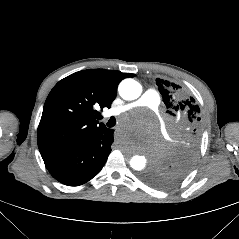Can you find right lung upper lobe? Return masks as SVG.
I'll use <instances>...</instances> for the list:
<instances>
[{
	"mask_svg": "<svg viewBox=\"0 0 239 239\" xmlns=\"http://www.w3.org/2000/svg\"><path fill=\"white\" fill-rule=\"evenodd\" d=\"M116 70L88 69L60 80L49 93L38 126L37 141L42 158L79 145L98 131L96 108L111 107L120 81L134 77Z\"/></svg>",
	"mask_w": 239,
	"mask_h": 239,
	"instance_id": "cb5924a9",
	"label": "right lung upper lobe"
}]
</instances>
